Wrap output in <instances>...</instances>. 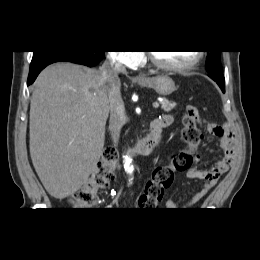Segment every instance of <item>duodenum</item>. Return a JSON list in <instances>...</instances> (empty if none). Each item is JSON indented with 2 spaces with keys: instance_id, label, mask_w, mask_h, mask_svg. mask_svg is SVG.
Listing matches in <instances>:
<instances>
[{
  "instance_id": "obj_1",
  "label": "duodenum",
  "mask_w": 260,
  "mask_h": 260,
  "mask_svg": "<svg viewBox=\"0 0 260 260\" xmlns=\"http://www.w3.org/2000/svg\"><path fill=\"white\" fill-rule=\"evenodd\" d=\"M166 127L165 122L157 118L150 123L148 134L137 144L128 149L131 157L146 156L154 151L161 140L162 131Z\"/></svg>"
}]
</instances>
